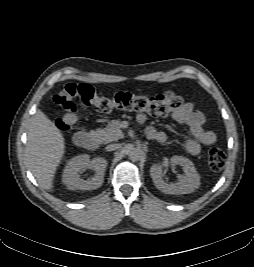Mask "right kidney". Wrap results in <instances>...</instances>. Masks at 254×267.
I'll use <instances>...</instances> for the list:
<instances>
[{
    "label": "right kidney",
    "mask_w": 254,
    "mask_h": 267,
    "mask_svg": "<svg viewBox=\"0 0 254 267\" xmlns=\"http://www.w3.org/2000/svg\"><path fill=\"white\" fill-rule=\"evenodd\" d=\"M107 164V161L101 157L91 160L86 154L75 156L67 162L62 176L63 183L70 190L97 189L103 184ZM86 169H92L95 175L83 180L80 178L79 172Z\"/></svg>",
    "instance_id": "ca27d5eb"
}]
</instances>
